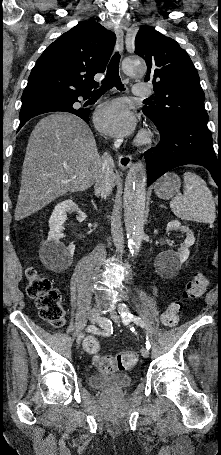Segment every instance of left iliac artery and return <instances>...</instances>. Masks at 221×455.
Returning <instances> with one entry per match:
<instances>
[{
  "instance_id": "obj_1",
  "label": "left iliac artery",
  "mask_w": 221,
  "mask_h": 455,
  "mask_svg": "<svg viewBox=\"0 0 221 455\" xmlns=\"http://www.w3.org/2000/svg\"><path fill=\"white\" fill-rule=\"evenodd\" d=\"M119 314L121 315L122 321H123L124 324H128L129 322L133 321L137 325H139L141 327H144V322L142 321V319L140 317H134L130 313L128 307L124 303L120 304ZM145 344H146V348L149 350L150 347H151V344H150V341L148 339V336L146 337V343Z\"/></svg>"
}]
</instances>
